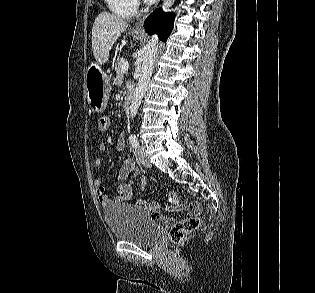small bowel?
Listing matches in <instances>:
<instances>
[{"label":"small bowel","instance_id":"c3829d8e","mask_svg":"<svg viewBox=\"0 0 315 293\" xmlns=\"http://www.w3.org/2000/svg\"><path fill=\"white\" fill-rule=\"evenodd\" d=\"M109 124H110V121H109ZM125 146H126L125 135L124 133H121L117 140V149L119 151H122L124 150ZM106 150H107V145L105 143H101L99 145V152L103 154L105 153ZM101 165H102V159L97 158L95 161V166L100 167ZM138 174H139V170L137 166L135 165L134 161L130 158H126L122 162V166L118 174V180L120 181V184L117 188V194L114 198H111L107 195L106 189L102 181L99 178H95L93 181V185L95 187L97 198L100 204L103 207H109L116 203L132 202V203H135L136 205L147 208L151 212L150 214L151 220L167 222L168 220L166 218L161 217L157 213L158 205L156 203H147L143 200L135 199L134 194H133V188L135 186V178L138 176ZM143 188H145V183H143ZM169 213L170 215H179L180 210L177 207H169Z\"/></svg>","mask_w":315,"mask_h":293}]
</instances>
